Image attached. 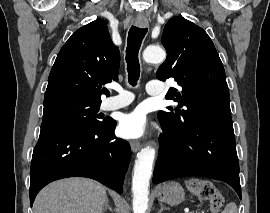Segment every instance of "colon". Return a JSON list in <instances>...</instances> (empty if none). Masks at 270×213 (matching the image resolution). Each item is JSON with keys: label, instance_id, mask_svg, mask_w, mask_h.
<instances>
[{"label": "colon", "instance_id": "5ec220e1", "mask_svg": "<svg viewBox=\"0 0 270 213\" xmlns=\"http://www.w3.org/2000/svg\"><path fill=\"white\" fill-rule=\"evenodd\" d=\"M189 191L209 203L213 213H218L223 206L224 198L209 180L192 179L188 183Z\"/></svg>", "mask_w": 270, "mask_h": 213}]
</instances>
